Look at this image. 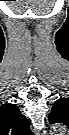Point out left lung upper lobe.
I'll return each instance as SVG.
<instances>
[{"label":"left lung upper lobe","instance_id":"left-lung-upper-lobe-1","mask_svg":"<svg viewBox=\"0 0 69 135\" xmlns=\"http://www.w3.org/2000/svg\"><path fill=\"white\" fill-rule=\"evenodd\" d=\"M69 115V100L67 98L58 99L49 114V121L51 123L55 122H65V119Z\"/></svg>","mask_w":69,"mask_h":135}]
</instances>
